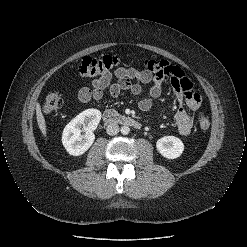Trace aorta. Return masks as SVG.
I'll return each instance as SVG.
<instances>
[{
    "label": "aorta",
    "instance_id": "762f6f07",
    "mask_svg": "<svg viewBox=\"0 0 247 247\" xmlns=\"http://www.w3.org/2000/svg\"><path fill=\"white\" fill-rule=\"evenodd\" d=\"M120 131L123 135H127L130 132V128L128 126L124 125L121 127Z\"/></svg>",
    "mask_w": 247,
    "mask_h": 247
}]
</instances>
